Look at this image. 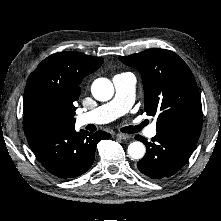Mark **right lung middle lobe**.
Here are the masks:
<instances>
[{"instance_id":"1","label":"right lung middle lobe","mask_w":221,"mask_h":221,"mask_svg":"<svg viewBox=\"0 0 221 221\" xmlns=\"http://www.w3.org/2000/svg\"><path fill=\"white\" fill-rule=\"evenodd\" d=\"M26 116L39 125L59 126L60 111L48 98L36 96L31 98L25 106Z\"/></svg>"}]
</instances>
